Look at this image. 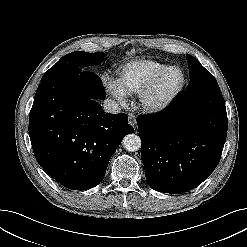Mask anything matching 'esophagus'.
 Listing matches in <instances>:
<instances>
[{"mask_svg":"<svg viewBox=\"0 0 247 247\" xmlns=\"http://www.w3.org/2000/svg\"><path fill=\"white\" fill-rule=\"evenodd\" d=\"M129 123L133 126L134 129H136L137 124L135 116L133 114H129Z\"/></svg>","mask_w":247,"mask_h":247,"instance_id":"1","label":"esophagus"}]
</instances>
